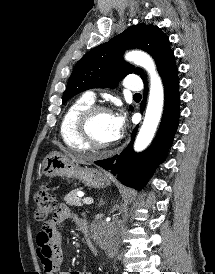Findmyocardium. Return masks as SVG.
Wrapping results in <instances>:
<instances>
[{
	"instance_id": "myocardium-1",
	"label": "myocardium",
	"mask_w": 215,
	"mask_h": 274,
	"mask_svg": "<svg viewBox=\"0 0 215 274\" xmlns=\"http://www.w3.org/2000/svg\"><path fill=\"white\" fill-rule=\"evenodd\" d=\"M100 113H109L111 114V110L103 105H92L87 108L83 113L80 115L77 121V132L80 139L83 143L91 149L95 150H104L111 147L115 141L109 143H99L95 140L92 131L91 125L94 118Z\"/></svg>"
}]
</instances>
